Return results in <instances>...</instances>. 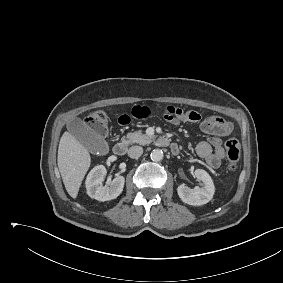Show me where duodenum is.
<instances>
[{"mask_svg": "<svg viewBox=\"0 0 283 283\" xmlns=\"http://www.w3.org/2000/svg\"><path fill=\"white\" fill-rule=\"evenodd\" d=\"M157 143L159 146L167 147L170 146L171 151L174 154H177L179 152V148L176 144H170V141L166 137H161L157 140ZM128 150V144L125 142H119L117 143L113 148V153L115 156H124Z\"/></svg>", "mask_w": 283, "mask_h": 283, "instance_id": "duodenum-1", "label": "duodenum"}]
</instances>
